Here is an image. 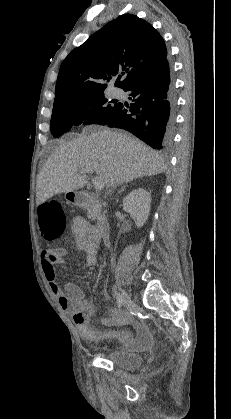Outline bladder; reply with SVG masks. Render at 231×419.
<instances>
[{"instance_id":"bladder-1","label":"bladder","mask_w":231,"mask_h":419,"mask_svg":"<svg viewBox=\"0 0 231 419\" xmlns=\"http://www.w3.org/2000/svg\"><path fill=\"white\" fill-rule=\"evenodd\" d=\"M103 357L118 368L130 370L140 367L144 357L141 354L125 352L117 348H109L103 352Z\"/></svg>"}]
</instances>
